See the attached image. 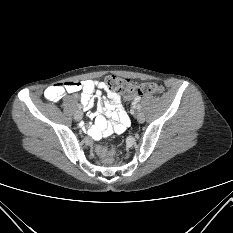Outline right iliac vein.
Wrapping results in <instances>:
<instances>
[{
  "label": "right iliac vein",
  "instance_id": "63e3f726",
  "mask_svg": "<svg viewBox=\"0 0 233 233\" xmlns=\"http://www.w3.org/2000/svg\"><path fill=\"white\" fill-rule=\"evenodd\" d=\"M74 118L75 120L79 121L83 118V113L81 111H77L75 114H74Z\"/></svg>",
  "mask_w": 233,
  "mask_h": 233
}]
</instances>
